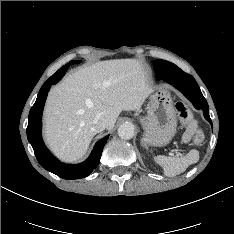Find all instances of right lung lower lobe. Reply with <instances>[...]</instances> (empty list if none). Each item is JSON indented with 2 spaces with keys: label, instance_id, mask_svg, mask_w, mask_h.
Wrapping results in <instances>:
<instances>
[{
  "label": "right lung lower lobe",
  "instance_id": "98d812e1",
  "mask_svg": "<svg viewBox=\"0 0 234 234\" xmlns=\"http://www.w3.org/2000/svg\"><path fill=\"white\" fill-rule=\"evenodd\" d=\"M70 64L62 66L41 87L36 102L30 110L28 117L27 138L33 147L34 153L40 165L63 179H80L87 177L99 164L102 150L108 136L99 140L89 158L81 164H65L57 160L46 148L42 136V112L50 87L56 84L66 73Z\"/></svg>",
  "mask_w": 234,
  "mask_h": 234
}]
</instances>
